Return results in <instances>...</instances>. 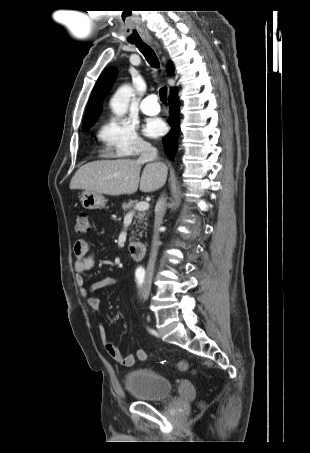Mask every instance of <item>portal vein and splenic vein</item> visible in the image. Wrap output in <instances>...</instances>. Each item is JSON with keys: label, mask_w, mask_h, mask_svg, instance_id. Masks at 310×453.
<instances>
[{"label": "portal vein and splenic vein", "mask_w": 310, "mask_h": 453, "mask_svg": "<svg viewBox=\"0 0 310 453\" xmlns=\"http://www.w3.org/2000/svg\"><path fill=\"white\" fill-rule=\"evenodd\" d=\"M135 210H138V211H146L149 209V203L148 202H140V203H137L135 208ZM134 213L133 211L130 212V214Z\"/></svg>", "instance_id": "obj_1"}]
</instances>
